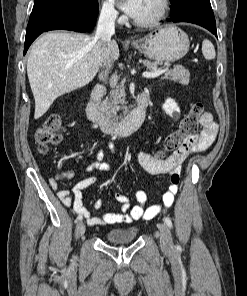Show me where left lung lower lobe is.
<instances>
[{"mask_svg": "<svg viewBox=\"0 0 247 296\" xmlns=\"http://www.w3.org/2000/svg\"><path fill=\"white\" fill-rule=\"evenodd\" d=\"M167 21L198 24L217 36L215 18L209 0H190L183 8L170 13Z\"/></svg>", "mask_w": 247, "mask_h": 296, "instance_id": "1", "label": "left lung lower lobe"}]
</instances>
